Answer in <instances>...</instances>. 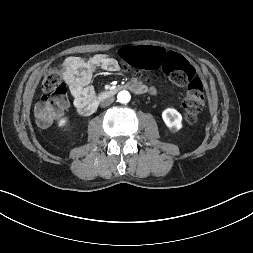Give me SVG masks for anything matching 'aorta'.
I'll return each instance as SVG.
<instances>
[{"instance_id":"1","label":"aorta","mask_w":253,"mask_h":253,"mask_svg":"<svg viewBox=\"0 0 253 253\" xmlns=\"http://www.w3.org/2000/svg\"><path fill=\"white\" fill-rule=\"evenodd\" d=\"M130 98V93L126 90L120 91L117 95V99L120 103H128Z\"/></svg>"}]
</instances>
